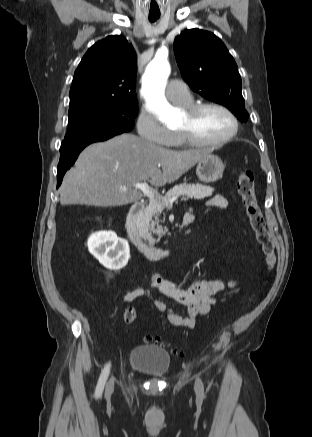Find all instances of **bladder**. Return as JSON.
<instances>
[{"instance_id": "obj_1", "label": "bladder", "mask_w": 312, "mask_h": 437, "mask_svg": "<svg viewBox=\"0 0 312 437\" xmlns=\"http://www.w3.org/2000/svg\"><path fill=\"white\" fill-rule=\"evenodd\" d=\"M170 354L155 345L136 346L130 354V365L151 377H164L170 368Z\"/></svg>"}]
</instances>
